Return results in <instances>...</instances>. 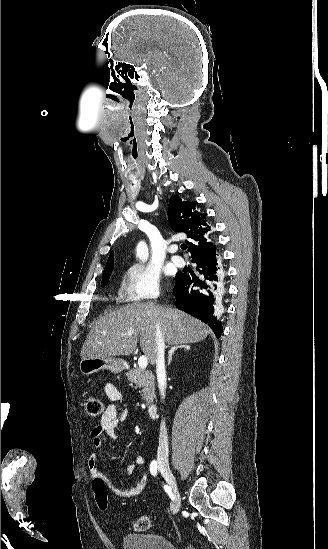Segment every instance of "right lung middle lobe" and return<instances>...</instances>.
Here are the masks:
<instances>
[{"label":"right lung middle lobe","instance_id":"1","mask_svg":"<svg viewBox=\"0 0 328 549\" xmlns=\"http://www.w3.org/2000/svg\"><path fill=\"white\" fill-rule=\"evenodd\" d=\"M112 270L113 268H111L108 272L104 273L103 275V278H102V282H101V286H105L109 280V277L112 273Z\"/></svg>","mask_w":328,"mask_h":549}]
</instances>
